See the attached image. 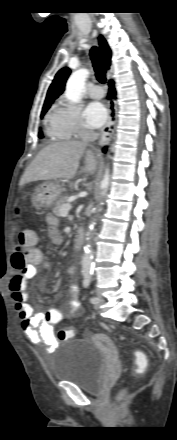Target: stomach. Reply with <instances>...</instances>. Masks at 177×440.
Returning <instances> with one entry per match:
<instances>
[{
    "label": "stomach",
    "mask_w": 177,
    "mask_h": 440,
    "mask_svg": "<svg viewBox=\"0 0 177 440\" xmlns=\"http://www.w3.org/2000/svg\"><path fill=\"white\" fill-rule=\"evenodd\" d=\"M61 193L59 181H49L40 185L32 194L31 203L36 209H48L55 205Z\"/></svg>",
    "instance_id": "stomach-1"
}]
</instances>
